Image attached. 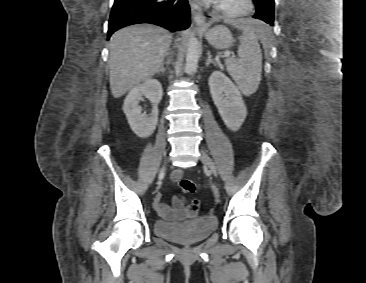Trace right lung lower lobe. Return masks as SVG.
I'll list each match as a JSON object with an SVG mask.
<instances>
[{"label":"right lung lower lobe","mask_w":366,"mask_h":283,"mask_svg":"<svg viewBox=\"0 0 366 283\" xmlns=\"http://www.w3.org/2000/svg\"><path fill=\"white\" fill-rule=\"evenodd\" d=\"M151 23L172 32L190 26V7L187 0H114L111 10L108 39L125 26Z\"/></svg>","instance_id":"98d812e1"}]
</instances>
